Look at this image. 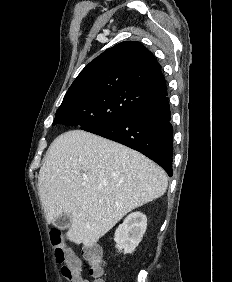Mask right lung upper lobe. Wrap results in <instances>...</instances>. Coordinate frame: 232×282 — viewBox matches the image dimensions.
Wrapping results in <instances>:
<instances>
[{"label": "right lung upper lobe", "mask_w": 232, "mask_h": 282, "mask_svg": "<svg viewBox=\"0 0 232 282\" xmlns=\"http://www.w3.org/2000/svg\"><path fill=\"white\" fill-rule=\"evenodd\" d=\"M110 89L140 91L153 103L167 93L161 66L154 55L136 41L121 42L92 60L74 80L63 100Z\"/></svg>", "instance_id": "1"}]
</instances>
